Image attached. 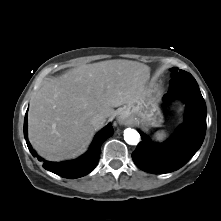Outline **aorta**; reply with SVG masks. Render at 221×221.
<instances>
[{
  "label": "aorta",
  "instance_id": "762f6f07",
  "mask_svg": "<svg viewBox=\"0 0 221 221\" xmlns=\"http://www.w3.org/2000/svg\"><path fill=\"white\" fill-rule=\"evenodd\" d=\"M124 140L130 145H137L140 141V134L131 128L124 130Z\"/></svg>",
  "mask_w": 221,
  "mask_h": 221
}]
</instances>
